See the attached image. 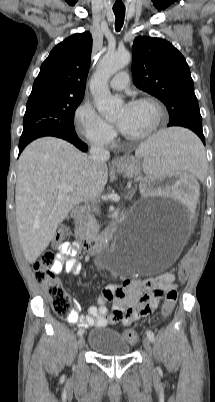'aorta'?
Instances as JSON below:
<instances>
[{
	"mask_svg": "<svg viewBox=\"0 0 215 402\" xmlns=\"http://www.w3.org/2000/svg\"><path fill=\"white\" fill-rule=\"evenodd\" d=\"M131 54L128 51L107 53L98 65L90 82V91L94 103L99 113L106 120H113L123 101L119 97L113 96L109 90V79L129 64ZM104 261L110 262L114 269L122 266V258L115 257L111 250L101 254Z\"/></svg>",
	"mask_w": 215,
	"mask_h": 402,
	"instance_id": "obj_1",
	"label": "aorta"
}]
</instances>
